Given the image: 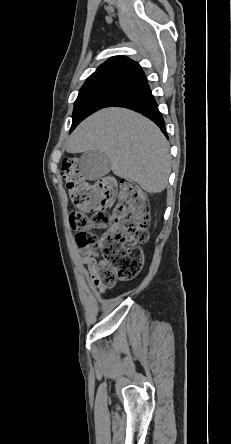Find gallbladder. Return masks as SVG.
Returning <instances> with one entry per match:
<instances>
[{"label": "gallbladder", "instance_id": "bac80fb5", "mask_svg": "<svg viewBox=\"0 0 231 444\" xmlns=\"http://www.w3.org/2000/svg\"><path fill=\"white\" fill-rule=\"evenodd\" d=\"M110 159L104 153L93 150L81 156L79 168L82 175L88 180H96L108 174Z\"/></svg>", "mask_w": 231, "mask_h": 444}]
</instances>
